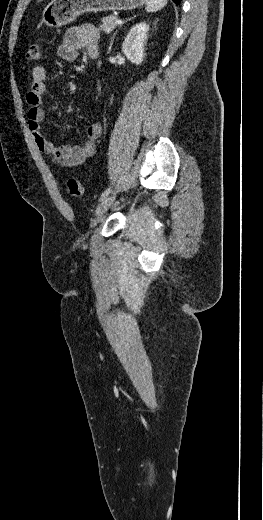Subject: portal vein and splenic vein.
I'll return each mask as SVG.
<instances>
[{"label": "portal vein and splenic vein", "instance_id": "portal-vein-and-splenic-vein-1", "mask_svg": "<svg viewBox=\"0 0 263 520\" xmlns=\"http://www.w3.org/2000/svg\"><path fill=\"white\" fill-rule=\"evenodd\" d=\"M116 24H118V25L122 24V20L121 19L116 20Z\"/></svg>", "mask_w": 263, "mask_h": 520}]
</instances>
